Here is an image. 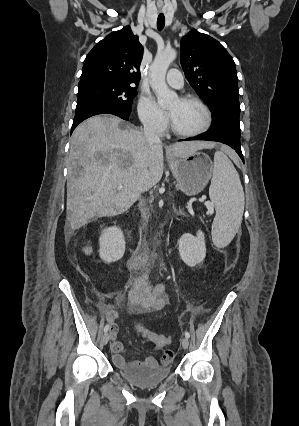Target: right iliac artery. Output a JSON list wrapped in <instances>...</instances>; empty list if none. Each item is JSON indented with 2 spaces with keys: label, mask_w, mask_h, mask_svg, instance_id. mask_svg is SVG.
<instances>
[{
  "label": "right iliac artery",
  "mask_w": 299,
  "mask_h": 426,
  "mask_svg": "<svg viewBox=\"0 0 299 426\" xmlns=\"http://www.w3.org/2000/svg\"><path fill=\"white\" fill-rule=\"evenodd\" d=\"M109 330V325L107 324L105 327H104V332H107Z\"/></svg>",
  "instance_id": "82829eb1"
}]
</instances>
